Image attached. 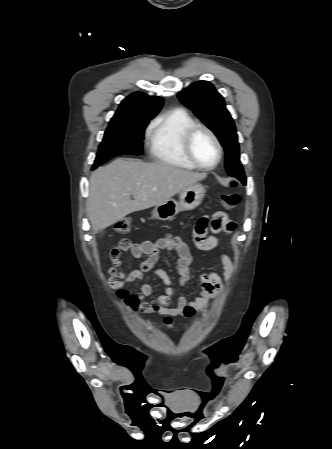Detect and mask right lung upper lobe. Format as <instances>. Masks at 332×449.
Here are the masks:
<instances>
[{"label": "right lung upper lobe", "mask_w": 332, "mask_h": 449, "mask_svg": "<svg viewBox=\"0 0 332 449\" xmlns=\"http://www.w3.org/2000/svg\"><path fill=\"white\" fill-rule=\"evenodd\" d=\"M163 99L144 93H134L125 98L112 119L145 117L153 118L161 109Z\"/></svg>", "instance_id": "cb5924a9"}]
</instances>
